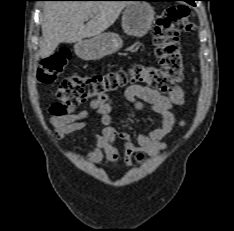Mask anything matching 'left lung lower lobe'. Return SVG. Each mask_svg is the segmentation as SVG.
I'll return each instance as SVG.
<instances>
[{
  "mask_svg": "<svg viewBox=\"0 0 234 231\" xmlns=\"http://www.w3.org/2000/svg\"><path fill=\"white\" fill-rule=\"evenodd\" d=\"M147 1H158V0H147ZM182 1H186L187 3L191 4V5H195V1L197 0H182Z\"/></svg>",
  "mask_w": 234,
  "mask_h": 231,
  "instance_id": "1",
  "label": "left lung lower lobe"
}]
</instances>
